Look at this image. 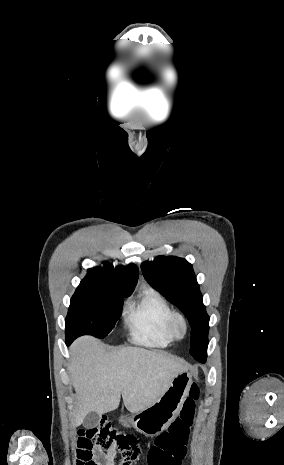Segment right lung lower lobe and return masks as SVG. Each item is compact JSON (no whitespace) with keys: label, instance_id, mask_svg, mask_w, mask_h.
<instances>
[{"label":"right lung lower lobe","instance_id":"1","mask_svg":"<svg viewBox=\"0 0 284 465\" xmlns=\"http://www.w3.org/2000/svg\"><path fill=\"white\" fill-rule=\"evenodd\" d=\"M72 342H73V340H71V339H66V345H67V346H69Z\"/></svg>","mask_w":284,"mask_h":465}]
</instances>
